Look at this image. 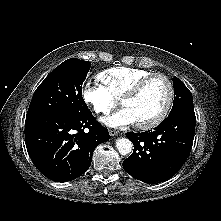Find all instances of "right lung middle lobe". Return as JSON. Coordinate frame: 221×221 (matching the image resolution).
I'll list each match as a JSON object with an SVG mask.
<instances>
[{"instance_id":"obj_1","label":"right lung middle lobe","mask_w":221,"mask_h":221,"mask_svg":"<svg viewBox=\"0 0 221 221\" xmlns=\"http://www.w3.org/2000/svg\"><path fill=\"white\" fill-rule=\"evenodd\" d=\"M91 67L71 58L56 67L36 89L26 118L44 114L80 116L90 112L82 98V84Z\"/></svg>"}]
</instances>
